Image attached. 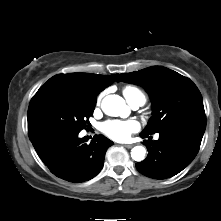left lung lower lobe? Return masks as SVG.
Returning <instances> with one entry per match:
<instances>
[{
    "label": "left lung lower lobe",
    "instance_id": "left-lung-lower-lobe-1",
    "mask_svg": "<svg viewBox=\"0 0 221 221\" xmlns=\"http://www.w3.org/2000/svg\"><path fill=\"white\" fill-rule=\"evenodd\" d=\"M206 121L184 120L159 132L157 141L145 142L147 158L136 163L137 170L154 179L172 177L186 168L199 151ZM150 134H141L145 138Z\"/></svg>",
    "mask_w": 221,
    "mask_h": 221
}]
</instances>
